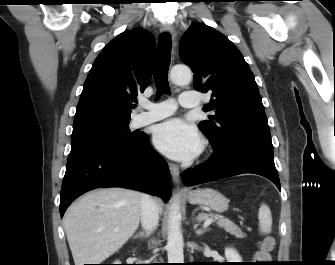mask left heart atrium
I'll return each instance as SVG.
<instances>
[{"label": "left heart atrium", "mask_w": 335, "mask_h": 265, "mask_svg": "<svg viewBox=\"0 0 335 265\" xmlns=\"http://www.w3.org/2000/svg\"><path fill=\"white\" fill-rule=\"evenodd\" d=\"M156 148L175 160H189L201 149V139L195 128L175 118L159 124L153 133Z\"/></svg>", "instance_id": "39dd6f15"}]
</instances>
